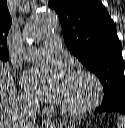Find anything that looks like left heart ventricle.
<instances>
[{"instance_id":"1","label":"left heart ventricle","mask_w":125,"mask_h":128,"mask_svg":"<svg viewBox=\"0 0 125 128\" xmlns=\"http://www.w3.org/2000/svg\"><path fill=\"white\" fill-rule=\"evenodd\" d=\"M92 95V87L81 78H70L69 85L60 105L67 108H75L85 104Z\"/></svg>"}]
</instances>
